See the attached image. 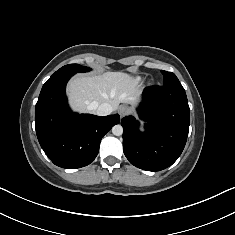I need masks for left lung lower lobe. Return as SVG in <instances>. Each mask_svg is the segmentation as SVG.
Masks as SVG:
<instances>
[{"mask_svg": "<svg viewBox=\"0 0 235 235\" xmlns=\"http://www.w3.org/2000/svg\"><path fill=\"white\" fill-rule=\"evenodd\" d=\"M138 112L147 122L144 132L133 116L121 120L124 154L140 169L163 170L178 159L186 144L190 109L185 90L182 85L145 88Z\"/></svg>", "mask_w": 235, "mask_h": 235, "instance_id": "1", "label": "left lung lower lobe"}]
</instances>
